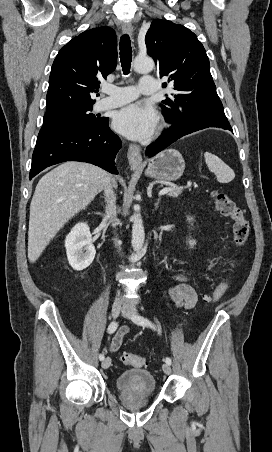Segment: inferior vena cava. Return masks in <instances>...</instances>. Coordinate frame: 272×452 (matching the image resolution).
Listing matches in <instances>:
<instances>
[{
	"mask_svg": "<svg viewBox=\"0 0 272 452\" xmlns=\"http://www.w3.org/2000/svg\"><path fill=\"white\" fill-rule=\"evenodd\" d=\"M104 195H105V201H106V210H105V217L106 219H110L112 222H117V213H116V196L113 191L112 185L109 183L104 188ZM116 245H120V241L115 239Z\"/></svg>",
	"mask_w": 272,
	"mask_h": 452,
	"instance_id": "602c4592",
	"label": "inferior vena cava"
}]
</instances>
